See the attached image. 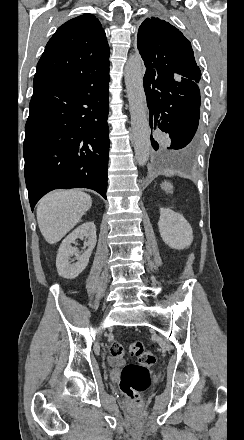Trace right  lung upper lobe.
<instances>
[{
    "label": "right lung upper lobe",
    "mask_w": 244,
    "mask_h": 440,
    "mask_svg": "<svg viewBox=\"0 0 244 440\" xmlns=\"http://www.w3.org/2000/svg\"><path fill=\"white\" fill-rule=\"evenodd\" d=\"M109 46L99 20L92 14L73 18L54 33L42 54L34 88L70 80L109 67Z\"/></svg>",
    "instance_id": "1"
}]
</instances>
